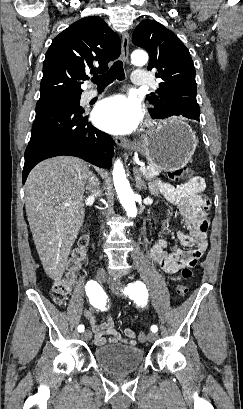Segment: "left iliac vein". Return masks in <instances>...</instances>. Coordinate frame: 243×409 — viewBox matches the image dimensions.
<instances>
[{
    "label": "left iliac vein",
    "mask_w": 243,
    "mask_h": 409,
    "mask_svg": "<svg viewBox=\"0 0 243 409\" xmlns=\"http://www.w3.org/2000/svg\"><path fill=\"white\" fill-rule=\"evenodd\" d=\"M108 284H109V287L111 288V290L115 294H117V295L121 294L124 286H123V284H122V282L120 280L114 279V278H109L108 279ZM156 339H157V334L156 333H154V332H149L148 333L147 340L149 342H154Z\"/></svg>",
    "instance_id": "obj_1"
}]
</instances>
